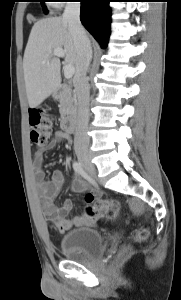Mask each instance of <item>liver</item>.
Listing matches in <instances>:
<instances>
[{
  "instance_id": "1",
  "label": "liver",
  "mask_w": 181,
  "mask_h": 300,
  "mask_svg": "<svg viewBox=\"0 0 181 300\" xmlns=\"http://www.w3.org/2000/svg\"><path fill=\"white\" fill-rule=\"evenodd\" d=\"M65 51L64 62L76 68L77 53L67 22L61 17L37 21L24 52L23 70L30 108L38 107L61 83L60 60L53 50Z\"/></svg>"
}]
</instances>
